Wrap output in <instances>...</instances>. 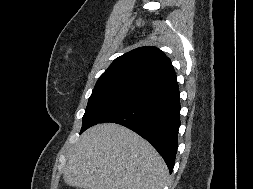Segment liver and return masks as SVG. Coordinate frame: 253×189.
<instances>
[{"label": "liver", "instance_id": "1", "mask_svg": "<svg viewBox=\"0 0 253 189\" xmlns=\"http://www.w3.org/2000/svg\"><path fill=\"white\" fill-rule=\"evenodd\" d=\"M168 168L151 144L114 123L85 131L72 147L64 182L80 189H163Z\"/></svg>", "mask_w": 253, "mask_h": 189}]
</instances>
